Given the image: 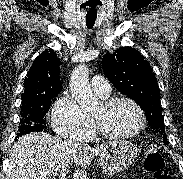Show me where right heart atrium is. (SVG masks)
<instances>
[{"mask_svg":"<svg viewBox=\"0 0 183 179\" xmlns=\"http://www.w3.org/2000/svg\"><path fill=\"white\" fill-rule=\"evenodd\" d=\"M51 123L54 131L63 138L84 139L94 129L92 120L83 113L75 99L68 94L61 96L55 102Z\"/></svg>","mask_w":183,"mask_h":179,"instance_id":"1","label":"right heart atrium"}]
</instances>
